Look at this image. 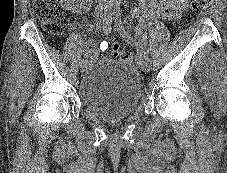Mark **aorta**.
Listing matches in <instances>:
<instances>
[{
  "mask_svg": "<svg viewBox=\"0 0 227 173\" xmlns=\"http://www.w3.org/2000/svg\"><path fill=\"white\" fill-rule=\"evenodd\" d=\"M112 2L120 3L121 0H111Z\"/></svg>",
  "mask_w": 227,
  "mask_h": 173,
  "instance_id": "762f6f07",
  "label": "aorta"
}]
</instances>
